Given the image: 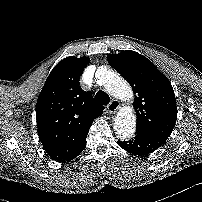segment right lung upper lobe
Returning <instances> with one entry per match:
<instances>
[{
  "instance_id": "obj_1",
  "label": "right lung upper lobe",
  "mask_w": 202,
  "mask_h": 202,
  "mask_svg": "<svg viewBox=\"0 0 202 202\" xmlns=\"http://www.w3.org/2000/svg\"><path fill=\"white\" fill-rule=\"evenodd\" d=\"M88 57L69 56L51 71L38 97L36 119L38 136L51 159L65 162L82 147L103 106L93 101L90 91L79 86Z\"/></svg>"
}]
</instances>
